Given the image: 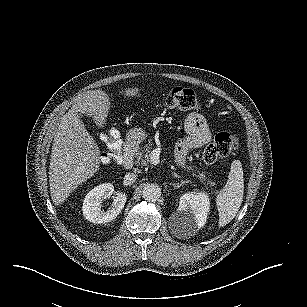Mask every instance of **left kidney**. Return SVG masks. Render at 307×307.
Here are the masks:
<instances>
[{
  "mask_svg": "<svg viewBox=\"0 0 307 307\" xmlns=\"http://www.w3.org/2000/svg\"><path fill=\"white\" fill-rule=\"evenodd\" d=\"M211 211V197L207 191H190L182 194L172 225L175 232L193 235L203 227Z\"/></svg>",
  "mask_w": 307,
  "mask_h": 307,
  "instance_id": "obj_1",
  "label": "left kidney"
}]
</instances>
